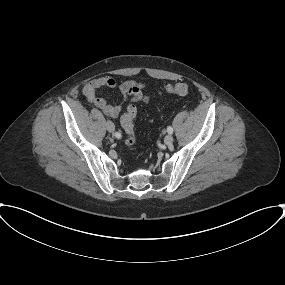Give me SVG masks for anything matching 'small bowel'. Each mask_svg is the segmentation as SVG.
Segmentation results:
<instances>
[{
	"instance_id": "obj_1",
	"label": "small bowel",
	"mask_w": 285,
	"mask_h": 285,
	"mask_svg": "<svg viewBox=\"0 0 285 285\" xmlns=\"http://www.w3.org/2000/svg\"><path fill=\"white\" fill-rule=\"evenodd\" d=\"M103 88L117 90L123 97V102L131 100L132 102L149 101V96L144 92L145 85L134 80H126L117 83L109 76L95 78L86 83L82 89V94L89 103L94 104L102 110V112L111 118H117L121 111V104H111L103 97L97 95V92Z\"/></svg>"
}]
</instances>
